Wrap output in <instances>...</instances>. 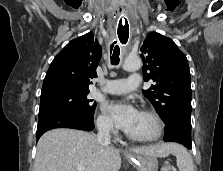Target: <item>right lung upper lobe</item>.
<instances>
[{
    "label": "right lung upper lobe",
    "instance_id": "cb5924a9",
    "mask_svg": "<svg viewBox=\"0 0 223 171\" xmlns=\"http://www.w3.org/2000/svg\"><path fill=\"white\" fill-rule=\"evenodd\" d=\"M101 47L92 33L70 41L52 61L45 76L41 98L71 91H89L96 77Z\"/></svg>",
    "mask_w": 223,
    "mask_h": 171
}]
</instances>
